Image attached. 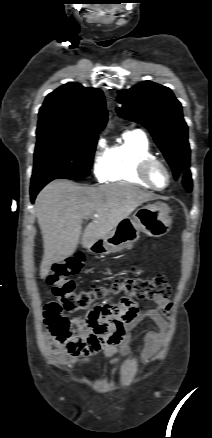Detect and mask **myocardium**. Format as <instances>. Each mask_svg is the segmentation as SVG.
I'll use <instances>...</instances> for the list:
<instances>
[{
    "label": "myocardium",
    "mask_w": 212,
    "mask_h": 438,
    "mask_svg": "<svg viewBox=\"0 0 212 438\" xmlns=\"http://www.w3.org/2000/svg\"><path fill=\"white\" fill-rule=\"evenodd\" d=\"M153 165H160L161 167H163V169L165 170L167 177H168V182L167 184L160 188L155 186L150 178H149V171L152 168ZM136 173L137 176L146 184L148 185L151 189L157 190V191H163L166 190L171 182H172V173L168 167V165L161 159L157 158V157H146L143 158L140 163L138 164V167L136 169Z\"/></svg>",
    "instance_id": "f54148a6"
}]
</instances>
